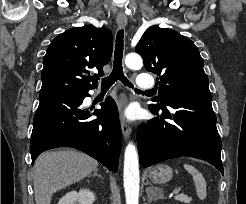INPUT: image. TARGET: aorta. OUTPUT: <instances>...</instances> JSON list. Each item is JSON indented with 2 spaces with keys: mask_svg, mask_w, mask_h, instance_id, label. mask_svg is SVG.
<instances>
[{
  "mask_svg": "<svg viewBox=\"0 0 246 204\" xmlns=\"http://www.w3.org/2000/svg\"><path fill=\"white\" fill-rule=\"evenodd\" d=\"M125 64L130 69H140L143 66V60L140 55L131 53L125 58ZM139 159L135 145L130 142L124 153V189L126 204L139 203Z\"/></svg>",
  "mask_w": 246,
  "mask_h": 204,
  "instance_id": "aorta-1",
  "label": "aorta"
}]
</instances>
